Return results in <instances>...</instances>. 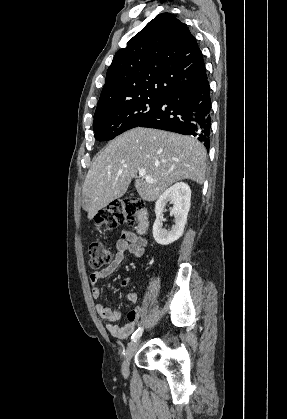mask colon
I'll use <instances>...</instances> for the list:
<instances>
[{
    "label": "colon",
    "instance_id": "colon-1",
    "mask_svg": "<svg viewBox=\"0 0 287 419\" xmlns=\"http://www.w3.org/2000/svg\"><path fill=\"white\" fill-rule=\"evenodd\" d=\"M141 201L134 198H122L112 201L105 209L100 210L94 218L97 228L116 229L121 224L132 225L142 209ZM90 265L99 268L107 264L111 258L110 249L101 242H93L89 246Z\"/></svg>",
    "mask_w": 287,
    "mask_h": 419
}]
</instances>
